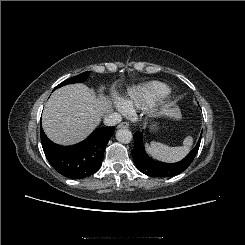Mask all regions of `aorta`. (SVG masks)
Segmentation results:
<instances>
[{
  "instance_id": "1",
  "label": "aorta",
  "mask_w": 245,
  "mask_h": 245,
  "mask_svg": "<svg viewBox=\"0 0 245 245\" xmlns=\"http://www.w3.org/2000/svg\"><path fill=\"white\" fill-rule=\"evenodd\" d=\"M132 133L129 129L127 128H121L116 132V139L117 141H119L120 143L123 144H128L131 142L132 140Z\"/></svg>"
}]
</instances>
